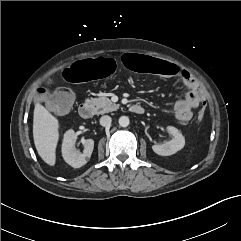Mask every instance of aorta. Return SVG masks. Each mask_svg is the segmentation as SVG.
Masks as SVG:
<instances>
[{
    "mask_svg": "<svg viewBox=\"0 0 241 241\" xmlns=\"http://www.w3.org/2000/svg\"><path fill=\"white\" fill-rule=\"evenodd\" d=\"M130 121L129 118L127 116H121L119 118V125L121 127H127L129 125Z\"/></svg>",
    "mask_w": 241,
    "mask_h": 241,
    "instance_id": "obj_1",
    "label": "aorta"
}]
</instances>
